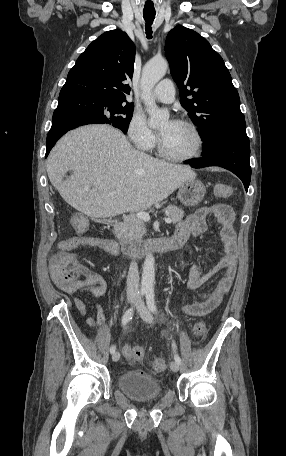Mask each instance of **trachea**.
I'll return each mask as SVG.
<instances>
[{
    "label": "trachea",
    "instance_id": "obj_1",
    "mask_svg": "<svg viewBox=\"0 0 286 456\" xmlns=\"http://www.w3.org/2000/svg\"><path fill=\"white\" fill-rule=\"evenodd\" d=\"M143 17H144V20L146 22L145 24V30H146V34H147V38L148 39H151L152 38V23L155 19V13H147V12H144L143 13Z\"/></svg>",
    "mask_w": 286,
    "mask_h": 456
}]
</instances>
